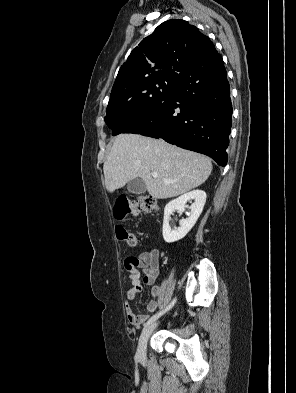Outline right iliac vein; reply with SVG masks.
I'll use <instances>...</instances> for the list:
<instances>
[{"label": "right iliac vein", "mask_w": 296, "mask_h": 393, "mask_svg": "<svg viewBox=\"0 0 296 393\" xmlns=\"http://www.w3.org/2000/svg\"><path fill=\"white\" fill-rule=\"evenodd\" d=\"M157 325H158L157 322L152 323L142 331L138 340V346L136 352V356L139 360L145 359L148 339Z\"/></svg>", "instance_id": "63e3f726"}]
</instances>
